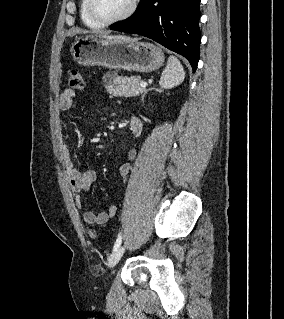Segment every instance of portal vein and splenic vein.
<instances>
[{"mask_svg":"<svg viewBox=\"0 0 284 319\" xmlns=\"http://www.w3.org/2000/svg\"><path fill=\"white\" fill-rule=\"evenodd\" d=\"M141 87H143V88H145V87H147V82H145V81H142V82H140V84H139Z\"/></svg>","mask_w":284,"mask_h":319,"instance_id":"18ae733b","label":"portal vein and splenic vein"}]
</instances>
